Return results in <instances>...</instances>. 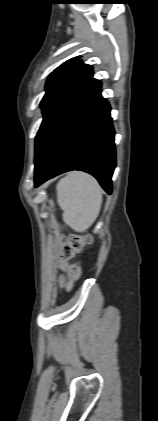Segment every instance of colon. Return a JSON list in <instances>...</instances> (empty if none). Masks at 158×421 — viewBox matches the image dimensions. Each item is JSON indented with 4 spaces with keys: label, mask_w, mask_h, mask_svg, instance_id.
Segmentation results:
<instances>
[{
    "label": "colon",
    "mask_w": 158,
    "mask_h": 421,
    "mask_svg": "<svg viewBox=\"0 0 158 421\" xmlns=\"http://www.w3.org/2000/svg\"><path fill=\"white\" fill-rule=\"evenodd\" d=\"M61 258L63 260L72 259L83 247L91 243V238H81L77 236L63 237L62 238ZM82 268L80 264L72 265L69 269L71 281L80 278Z\"/></svg>",
    "instance_id": "5ec220e1"
}]
</instances>
